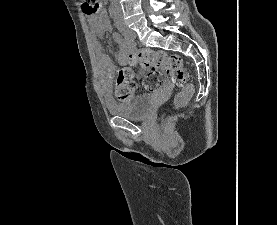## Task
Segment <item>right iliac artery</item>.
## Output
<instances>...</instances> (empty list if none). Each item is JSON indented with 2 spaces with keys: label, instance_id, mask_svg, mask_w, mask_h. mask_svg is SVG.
<instances>
[{
  "label": "right iliac artery",
  "instance_id": "obj_1",
  "mask_svg": "<svg viewBox=\"0 0 277 225\" xmlns=\"http://www.w3.org/2000/svg\"><path fill=\"white\" fill-rule=\"evenodd\" d=\"M120 35V34H119ZM124 43L127 45V46H132L133 45V41L132 39L128 38V37H125L123 39Z\"/></svg>",
  "mask_w": 277,
  "mask_h": 225
}]
</instances>
